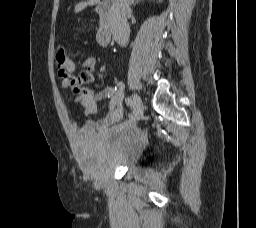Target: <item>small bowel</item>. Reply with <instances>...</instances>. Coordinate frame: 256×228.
<instances>
[{
    "label": "small bowel",
    "instance_id": "obj_1",
    "mask_svg": "<svg viewBox=\"0 0 256 228\" xmlns=\"http://www.w3.org/2000/svg\"><path fill=\"white\" fill-rule=\"evenodd\" d=\"M76 67L75 61L69 57L65 64L58 66V73L62 87L75 102L84 107V116L95 114L98 109L97 103L106 97H112L110 111L97 121L88 120L80 132L82 134L106 132L111 125L119 122L125 116L122 92L118 87L108 86L97 91L94 88L83 86L84 84L93 83L96 79V59L94 57L90 56L82 61L80 64L82 70L78 75H74Z\"/></svg>",
    "mask_w": 256,
    "mask_h": 228
}]
</instances>
